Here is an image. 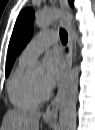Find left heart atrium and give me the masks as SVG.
<instances>
[{
    "mask_svg": "<svg viewBox=\"0 0 95 130\" xmlns=\"http://www.w3.org/2000/svg\"><path fill=\"white\" fill-rule=\"evenodd\" d=\"M45 64V77L44 86L48 89L53 88L58 84L63 73V61L58 53H49L44 58Z\"/></svg>",
    "mask_w": 95,
    "mask_h": 130,
    "instance_id": "left-heart-atrium-1",
    "label": "left heart atrium"
}]
</instances>
